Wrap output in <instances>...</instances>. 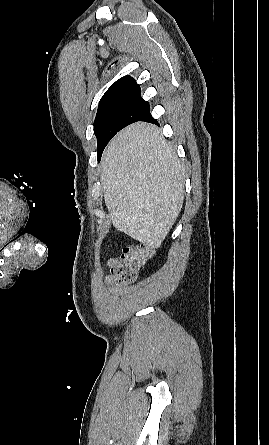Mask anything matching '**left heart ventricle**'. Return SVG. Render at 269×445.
Listing matches in <instances>:
<instances>
[{
	"mask_svg": "<svg viewBox=\"0 0 269 445\" xmlns=\"http://www.w3.org/2000/svg\"><path fill=\"white\" fill-rule=\"evenodd\" d=\"M2 236V233L0 232V237Z\"/></svg>",
	"mask_w": 269,
	"mask_h": 445,
	"instance_id": "obj_1",
	"label": "left heart ventricle"
}]
</instances>
